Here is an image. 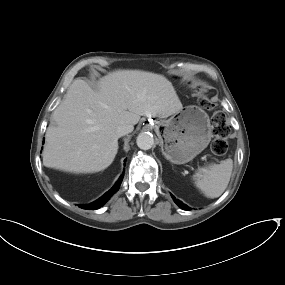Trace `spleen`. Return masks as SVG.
Returning <instances> with one entry per match:
<instances>
[{
    "label": "spleen",
    "mask_w": 285,
    "mask_h": 285,
    "mask_svg": "<svg viewBox=\"0 0 285 285\" xmlns=\"http://www.w3.org/2000/svg\"><path fill=\"white\" fill-rule=\"evenodd\" d=\"M233 168V161L226 159L212 164L195 175V184L207 198L219 197L227 188Z\"/></svg>",
    "instance_id": "spleen-1"
}]
</instances>
